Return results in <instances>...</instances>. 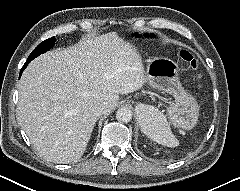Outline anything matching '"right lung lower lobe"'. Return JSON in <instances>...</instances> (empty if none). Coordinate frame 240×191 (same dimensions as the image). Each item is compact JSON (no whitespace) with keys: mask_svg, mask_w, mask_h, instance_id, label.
I'll list each match as a JSON object with an SVG mask.
<instances>
[{"mask_svg":"<svg viewBox=\"0 0 240 191\" xmlns=\"http://www.w3.org/2000/svg\"><path fill=\"white\" fill-rule=\"evenodd\" d=\"M28 61L23 65V67H22V69H21V71H20V76H21V74H22V72H23V70L26 68V66L28 65Z\"/></svg>","mask_w":240,"mask_h":191,"instance_id":"98d812e1","label":"right lung lower lobe"}]
</instances>
